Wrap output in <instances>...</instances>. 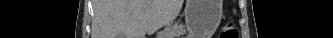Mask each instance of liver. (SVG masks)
<instances>
[{"label": "liver", "instance_id": "liver-1", "mask_svg": "<svg viewBox=\"0 0 333 38\" xmlns=\"http://www.w3.org/2000/svg\"><path fill=\"white\" fill-rule=\"evenodd\" d=\"M183 0H96L92 38L144 36L178 15Z\"/></svg>", "mask_w": 333, "mask_h": 38}]
</instances>
